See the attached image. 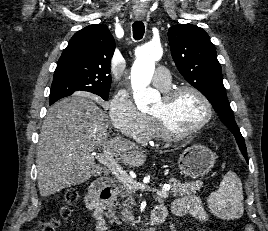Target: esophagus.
<instances>
[{"instance_id": "esophagus-1", "label": "esophagus", "mask_w": 268, "mask_h": 231, "mask_svg": "<svg viewBox=\"0 0 268 231\" xmlns=\"http://www.w3.org/2000/svg\"><path fill=\"white\" fill-rule=\"evenodd\" d=\"M136 18H137V19H141V18H142V16H137Z\"/></svg>"}]
</instances>
